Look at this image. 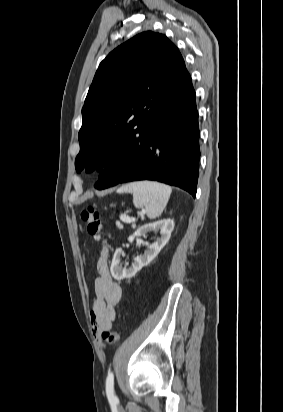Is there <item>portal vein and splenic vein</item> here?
<instances>
[{
    "label": "portal vein and splenic vein",
    "mask_w": 283,
    "mask_h": 412,
    "mask_svg": "<svg viewBox=\"0 0 283 412\" xmlns=\"http://www.w3.org/2000/svg\"><path fill=\"white\" fill-rule=\"evenodd\" d=\"M120 219L124 223H134L135 222V218H131V217L126 216V215H121Z\"/></svg>",
    "instance_id": "portal-vein-and-splenic-vein-1"
}]
</instances>
